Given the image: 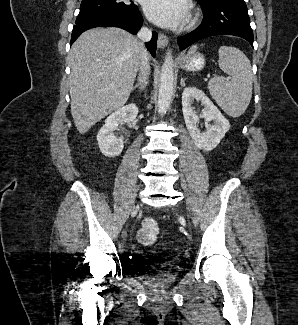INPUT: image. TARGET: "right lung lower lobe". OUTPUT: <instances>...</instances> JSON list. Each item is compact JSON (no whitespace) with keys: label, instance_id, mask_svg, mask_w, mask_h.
<instances>
[{"label":"right lung lower lobe","instance_id":"1","mask_svg":"<svg viewBox=\"0 0 298 325\" xmlns=\"http://www.w3.org/2000/svg\"><path fill=\"white\" fill-rule=\"evenodd\" d=\"M143 18L138 11L135 10H110L103 12H95L78 15L72 31L71 44L84 31L94 27H119L132 34H136L141 28ZM151 55L155 57L157 48V33L153 32L152 40L145 43Z\"/></svg>","mask_w":298,"mask_h":325}]
</instances>
